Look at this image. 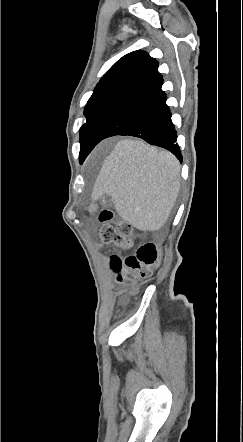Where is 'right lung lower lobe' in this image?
I'll use <instances>...</instances> for the list:
<instances>
[{"instance_id":"1","label":"right lung lower lobe","mask_w":243,"mask_h":442,"mask_svg":"<svg viewBox=\"0 0 243 442\" xmlns=\"http://www.w3.org/2000/svg\"><path fill=\"white\" fill-rule=\"evenodd\" d=\"M162 84L160 76L122 98L95 129L80 163L101 140L115 135L142 138L149 144L169 150L182 162Z\"/></svg>"}]
</instances>
